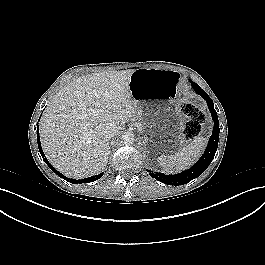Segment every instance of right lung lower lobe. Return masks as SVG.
<instances>
[{
    "label": "right lung lower lobe",
    "mask_w": 265,
    "mask_h": 265,
    "mask_svg": "<svg viewBox=\"0 0 265 265\" xmlns=\"http://www.w3.org/2000/svg\"><path fill=\"white\" fill-rule=\"evenodd\" d=\"M37 142H38V148H39V151H40V154L43 158V160L46 162V164L51 168L52 171H54L59 177L69 181L70 183H73V184H82V183H89V182H93L97 179H99L103 173H100L99 175H95V176H92V177H89V178H85V179H81V180H76V179H70V178H66L62 173L58 172L51 164H49L47 158L45 157L44 153H43V150H42V147H41V144H40V137H39V131H38V124H37Z\"/></svg>",
    "instance_id": "1"
}]
</instances>
